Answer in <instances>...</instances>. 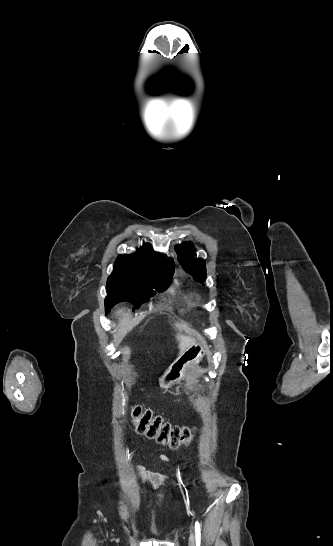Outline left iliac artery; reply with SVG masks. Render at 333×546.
Listing matches in <instances>:
<instances>
[{
    "label": "left iliac artery",
    "mask_w": 333,
    "mask_h": 546,
    "mask_svg": "<svg viewBox=\"0 0 333 546\" xmlns=\"http://www.w3.org/2000/svg\"><path fill=\"white\" fill-rule=\"evenodd\" d=\"M195 539H196V546H200L201 543V527L198 521L195 523Z\"/></svg>",
    "instance_id": "44dca946"
}]
</instances>
